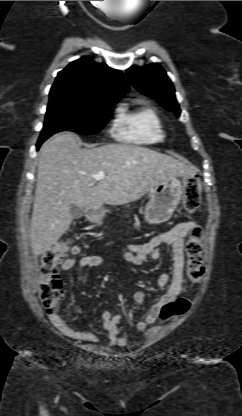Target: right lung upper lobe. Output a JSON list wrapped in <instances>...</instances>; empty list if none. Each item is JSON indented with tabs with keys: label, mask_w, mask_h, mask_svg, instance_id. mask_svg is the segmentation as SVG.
<instances>
[{
	"label": "right lung upper lobe",
	"mask_w": 242,
	"mask_h": 416,
	"mask_svg": "<svg viewBox=\"0 0 242 416\" xmlns=\"http://www.w3.org/2000/svg\"><path fill=\"white\" fill-rule=\"evenodd\" d=\"M128 87L121 71L82 57L58 73L49 96L50 99L117 102Z\"/></svg>",
	"instance_id": "1"
}]
</instances>
